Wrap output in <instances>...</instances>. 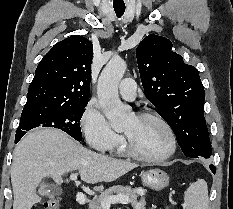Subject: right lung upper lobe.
I'll return each mask as SVG.
<instances>
[{"label": "right lung upper lobe", "mask_w": 233, "mask_h": 209, "mask_svg": "<svg viewBox=\"0 0 233 209\" xmlns=\"http://www.w3.org/2000/svg\"><path fill=\"white\" fill-rule=\"evenodd\" d=\"M92 56V43L83 36L56 43L38 64L26 105L88 101Z\"/></svg>", "instance_id": "right-lung-upper-lobe-1"}]
</instances>
